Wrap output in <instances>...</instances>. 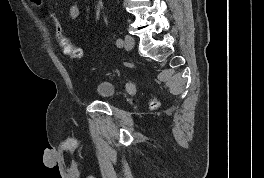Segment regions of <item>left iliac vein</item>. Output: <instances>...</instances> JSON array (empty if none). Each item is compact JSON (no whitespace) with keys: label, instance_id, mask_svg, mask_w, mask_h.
Instances as JSON below:
<instances>
[{"label":"left iliac vein","instance_id":"1","mask_svg":"<svg viewBox=\"0 0 264 178\" xmlns=\"http://www.w3.org/2000/svg\"><path fill=\"white\" fill-rule=\"evenodd\" d=\"M134 38L130 35L125 36L124 46L127 50H131L134 47Z\"/></svg>","mask_w":264,"mask_h":178}]
</instances>
